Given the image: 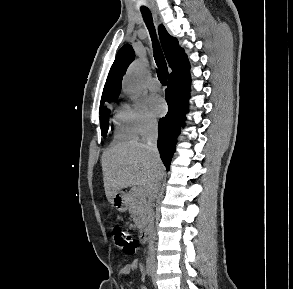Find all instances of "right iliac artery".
<instances>
[{
	"label": "right iliac artery",
	"mask_w": 293,
	"mask_h": 289,
	"mask_svg": "<svg viewBox=\"0 0 293 289\" xmlns=\"http://www.w3.org/2000/svg\"><path fill=\"white\" fill-rule=\"evenodd\" d=\"M146 274H148V276L152 274V261L149 258L146 261Z\"/></svg>",
	"instance_id": "1"
}]
</instances>
